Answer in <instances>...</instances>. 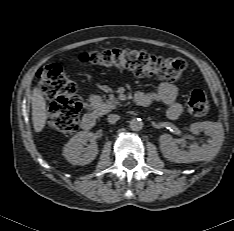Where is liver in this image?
<instances>
[{
    "mask_svg": "<svg viewBox=\"0 0 234 231\" xmlns=\"http://www.w3.org/2000/svg\"><path fill=\"white\" fill-rule=\"evenodd\" d=\"M46 101L39 88H35L32 95V121L36 133L43 130L47 119Z\"/></svg>",
    "mask_w": 234,
    "mask_h": 231,
    "instance_id": "6515ba94",
    "label": "liver"
}]
</instances>
